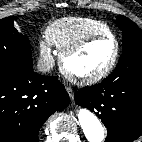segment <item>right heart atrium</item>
Wrapping results in <instances>:
<instances>
[{
	"label": "right heart atrium",
	"instance_id": "1",
	"mask_svg": "<svg viewBox=\"0 0 142 142\" xmlns=\"http://www.w3.org/2000/svg\"><path fill=\"white\" fill-rule=\"evenodd\" d=\"M38 50L41 59L43 60L46 66L52 65L54 61V52L52 49V44L48 39H41L38 42Z\"/></svg>",
	"mask_w": 142,
	"mask_h": 142
}]
</instances>
